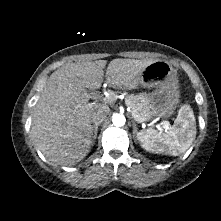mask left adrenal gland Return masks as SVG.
Segmentation results:
<instances>
[{"mask_svg": "<svg viewBox=\"0 0 221 221\" xmlns=\"http://www.w3.org/2000/svg\"><path fill=\"white\" fill-rule=\"evenodd\" d=\"M132 125H133V134L137 133V125L134 121H132Z\"/></svg>", "mask_w": 221, "mask_h": 221, "instance_id": "obj_1", "label": "left adrenal gland"}]
</instances>
